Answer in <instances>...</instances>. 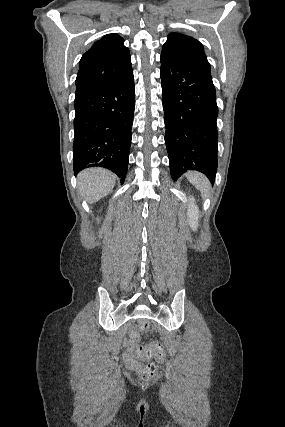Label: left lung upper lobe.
Wrapping results in <instances>:
<instances>
[{
    "label": "left lung upper lobe",
    "mask_w": 285,
    "mask_h": 427,
    "mask_svg": "<svg viewBox=\"0 0 285 427\" xmlns=\"http://www.w3.org/2000/svg\"><path fill=\"white\" fill-rule=\"evenodd\" d=\"M161 56L195 61L210 67L203 45L196 39L180 33H170L168 35V39L163 45Z\"/></svg>",
    "instance_id": "1"
}]
</instances>
